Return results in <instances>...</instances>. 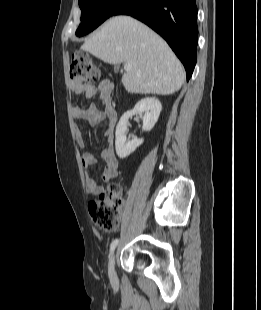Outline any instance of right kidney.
<instances>
[{
    "instance_id": "1",
    "label": "right kidney",
    "mask_w": 261,
    "mask_h": 310,
    "mask_svg": "<svg viewBox=\"0 0 261 310\" xmlns=\"http://www.w3.org/2000/svg\"><path fill=\"white\" fill-rule=\"evenodd\" d=\"M161 110L162 105L158 99L147 97L140 100L132 110L125 112L121 116L115 132L116 136L115 148L119 158L122 159L126 158L143 143L142 138L141 139L134 138L132 140H127L126 130L129 118L132 117L133 115L137 114L140 115V117L143 120L142 130L150 131L156 124ZM142 113H144L143 116Z\"/></svg>"
}]
</instances>
